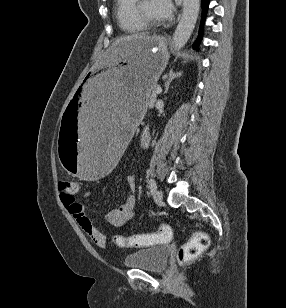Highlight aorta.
Returning a JSON list of instances; mask_svg holds the SVG:
<instances>
[{
    "instance_id": "762f6f07",
    "label": "aorta",
    "mask_w": 286,
    "mask_h": 308,
    "mask_svg": "<svg viewBox=\"0 0 286 308\" xmlns=\"http://www.w3.org/2000/svg\"><path fill=\"white\" fill-rule=\"evenodd\" d=\"M200 0H183L181 19L173 35V48L180 50L189 40L198 19Z\"/></svg>"
}]
</instances>
